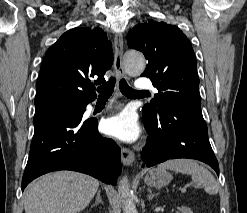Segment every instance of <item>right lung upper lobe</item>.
<instances>
[{
    "label": "right lung upper lobe",
    "mask_w": 247,
    "mask_h": 213,
    "mask_svg": "<svg viewBox=\"0 0 247 213\" xmlns=\"http://www.w3.org/2000/svg\"><path fill=\"white\" fill-rule=\"evenodd\" d=\"M111 42L100 28H74L65 32L44 57L36 84L35 108L50 101L69 99L91 102L95 84L105 82L104 74L111 68Z\"/></svg>",
    "instance_id": "obj_1"
}]
</instances>
